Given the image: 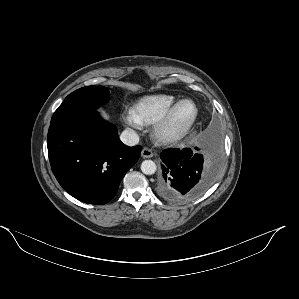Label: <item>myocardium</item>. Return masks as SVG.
<instances>
[{
	"label": "myocardium",
	"mask_w": 299,
	"mask_h": 299,
	"mask_svg": "<svg viewBox=\"0 0 299 299\" xmlns=\"http://www.w3.org/2000/svg\"><path fill=\"white\" fill-rule=\"evenodd\" d=\"M189 103L194 107V113L189 122L181 127V128H174L172 127V119L177 111V109L182 106L183 104ZM198 117V107L196 103L191 99H182L175 104H173L161 117L158 119L153 126V137L156 141L162 144H170L181 137L186 135L193 125L195 124Z\"/></svg>",
	"instance_id": "obj_1"
}]
</instances>
